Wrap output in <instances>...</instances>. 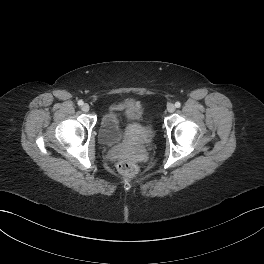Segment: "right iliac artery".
<instances>
[{
    "label": "right iliac artery",
    "instance_id": "right-iliac-artery-1",
    "mask_svg": "<svg viewBox=\"0 0 264 264\" xmlns=\"http://www.w3.org/2000/svg\"><path fill=\"white\" fill-rule=\"evenodd\" d=\"M78 105H79V106H82V105H83V101H82V100H79V101H78Z\"/></svg>",
    "mask_w": 264,
    "mask_h": 264
}]
</instances>
